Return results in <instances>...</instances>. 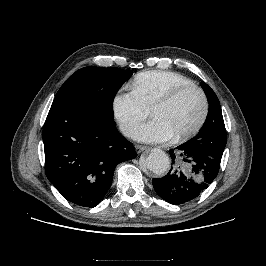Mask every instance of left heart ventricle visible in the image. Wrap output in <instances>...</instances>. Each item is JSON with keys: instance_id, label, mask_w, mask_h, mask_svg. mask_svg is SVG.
<instances>
[{"instance_id": "b2bd125f", "label": "left heart ventricle", "mask_w": 266, "mask_h": 266, "mask_svg": "<svg viewBox=\"0 0 266 266\" xmlns=\"http://www.w3.org/2000/svg\"><path fill=\"white\" fill-rule=\"evenodd\" d=\"M201 111L202 100L199 93L188 91L171 104L156 109L153 116L164 121L176 135L191 128L200 117Z\"/></svg>"}]
</instances>
